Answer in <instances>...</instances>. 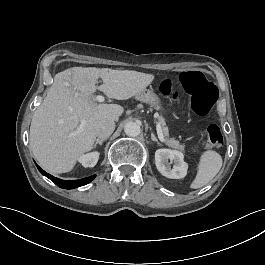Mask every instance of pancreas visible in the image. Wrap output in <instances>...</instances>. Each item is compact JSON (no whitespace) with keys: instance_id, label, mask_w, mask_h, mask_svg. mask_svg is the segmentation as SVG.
<instances>
[{"instance_id":"1","label":"pancreas","mask_w":265,"mask_h":265,"mask_svg":"<svg viewBox=\"0 0 265 265\" xmlns=\"http://www.w3.org/2000/svg\"><path fill=\"white\" fill-rule=\"evenodd\" d=\"M157 122L160 123V125L162 127V131H163V133L165 135V141H164V143L167 146L171 147V148H174V149H178V150L183 151L184 148H185V145H181L178 140H175L174 138H169L168 137L169 134H168V131L166 129L167 127H166V122H165L164 117L161 116V115L158 116L157 117Z\"/></svg>"}]
</instances>
